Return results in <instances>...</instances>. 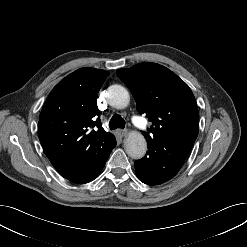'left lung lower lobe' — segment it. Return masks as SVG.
<instances>
[{
	"label": "left lung lower lobe",
	"mask_w": 247,
	"mask_h": 247,
	"mask_svg": "<svg viewBox=\"0 0 247 247\" xmlns=\"http://www.w3.org/2000/svg\"><path fill=\"white\" fill-rule=\"evenodd\" d=\"M191 149L180 143L164 146L149 143L146 155L135 162L138 179L148 185H159L172 179Z\"/></svg>",
	"instance_id": "1"
}]
</instances>
